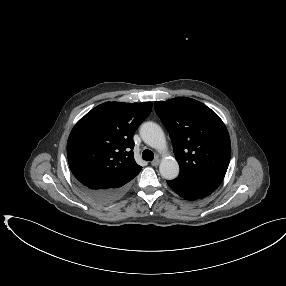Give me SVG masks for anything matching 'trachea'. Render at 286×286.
<instances>
[{
  "label": "trachea",
  "instance_id": "obj_1",
  "mask_svg": "<svg viewBox=\"0 0 286 286\" xmlns=\"http://www.w3.org/2000/svg\"><path fill=\"white\" fill-rule=\"evenodd\" d=\"M142 158L147 161H152L154 159V153L151 150H144Z\"/></svg>",
  "mask_w": 286,
  "mask_h": 286
}]
</instances>
